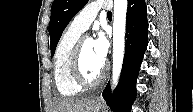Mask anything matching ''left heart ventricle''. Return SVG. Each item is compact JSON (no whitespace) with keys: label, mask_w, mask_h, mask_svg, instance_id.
I'll use <instances>...</instances> for the list:
<instances>
[{"label":"left heart ventricle","mask_w":193,"mask_h":112,"mask_svg":"<svg viewBox=\"0 0 193 112\" xmlns=\"http://www.w3.org/2000/svg\"><path fill=\"white\" fill-rule=\"evenodd\" d=\"M104 63L97 57L93 41L86 39L82 50V69L88 79H95L102 71Z\"/></svg>","instance_id":"left-heart-ventricle-1"}]
</instances>
